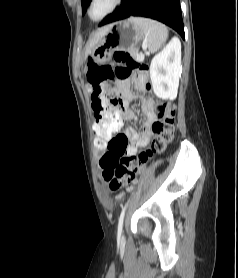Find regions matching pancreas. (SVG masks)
Returning a JSON list of instances; mask_svg holds the SVG:
<instances>
[{
  "label": "pancreas",
  "instance_id": "cf45deb5",
  "mask_svg": "<svg viewBox=\"0 0 238 278\" xmlns=\"http://www.w3.org/2000/svg\"><path fill=\"white\" fill-rule=\"evenodd\" d=\"M130 54H131V56H133V57L136 58V59H138V57L140 56V55L138 54V50H137L136 48L130 50Z\"/></svg>",
  "mask_w": 238,
  "mask_h": 278
}]
</instances>
